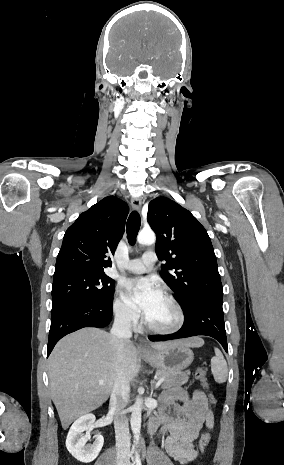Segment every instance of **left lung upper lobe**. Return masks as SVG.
Wrapping results in <instances>:
<instances>
[{
  "mask_svg": "<svg viewBox=\"0 0 284 465\" xmlns=\"http://www.w3.org/2000/svg\"><path fill=\"white\" fill-rule=\"evenodd\" d=\"M148 222L157 235L158 258L166 261L160 275L176 293V300L183 306L197 298L222 300L223 287L210 237L191 212L158 197L149 203Z\"/></svg>",
  "mask_w": 284,
  "mask_h": 465,
  "instance_id": "obj_1",
  "label": "left lung upper lobe"
}]
</instances>
